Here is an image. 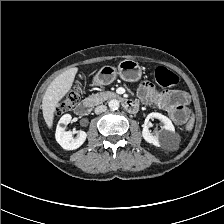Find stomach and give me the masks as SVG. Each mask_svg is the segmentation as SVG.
I'll return each instance as SVG.
<instances>
[{"mask_svg":"<svg viewBox=\"0 0 224 224\" xmlns=\"http://www.w3.org/2000/svg\"><path fill=\"white\" fill-rule=\"evenodd\" d=\"M119 76L128 82H137L142 77V70L138 62L125 59L117 67L105 65L95 75L94 85L102 86L111 84Z\"/></svg>","mask_w":224,"mask_h":224,"instance_id":"0dacf381","label":"stomach"}]
</instances>
